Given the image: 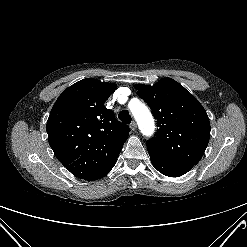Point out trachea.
I'll return each instance as SVG.
<instances>
[{
    "mask_svg": "<svg viewBox=\"0 0 247 247\" xmlns=\"http://www.w3.org/2000/svg\"><path fill=\"white\" fill-rule=\"evenodd\" d=\"M118 117L123 123L129 124L131 122V116L126 110L121 111Z\"/></svg>",
    "mask_w": 247,
    "mask_h": 247,
    "instance_id": "1",
    "label": "trachea"
}]
</instances>
